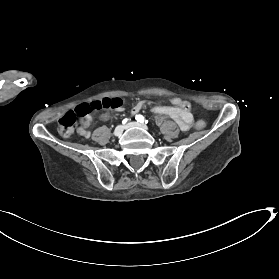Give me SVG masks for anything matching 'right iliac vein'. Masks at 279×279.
Wrapping results in <instances>:
<instances>
[{"mask_svg":"<svg viewBox=\"0 0 279 279\" xmlns=\"http://www.w3.org/2000/svg\"><path fill=\"white\" fill-rule=\"evenodd\" d=\"M124 131V126L123 125H118L115 130H114V135L115 136H120Z\"/></svg>","mask_w":279,"mask_h":279,"instance_id":"63e3f726","label":"right iliac vein"}]
</instances>
